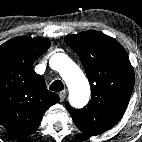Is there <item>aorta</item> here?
<instances>
[{"instance_id":"aorta-1","label":"aorta","mask_w":142,"mask_h":142,"mask_svg":"<svg viewBox=\"0 0 142 142\" xmlns=\"http://www.w3.org/2000/svg\"><path fill=\"white\" fill-rule=\"evenodd\" d=\"M50 65L67 84L71 104L75 107L85 106L90 98V85L79 66L64 53L54 54Z\"/></svg>"}]
</instances>
